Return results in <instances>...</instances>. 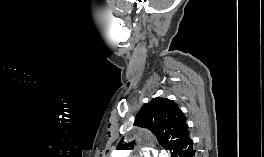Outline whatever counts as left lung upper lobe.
Listing matches in <instances>:
<instances>
[{
	"label": "left lung upper lobe",
	"instance_id": "obj_1",
	"mask_svg": "<svg viewBox=\"0 0 264 157\" xmlns=\"http://www.w3.org/2000/svg\"><path fill=\"white\" fill-rule=\"evenodd\" d=\"M134 125L147 128L158 138L171 157L179 146L189 139L184 113L177 104L167 98H155L139 111ZM133 142L119 143L118 149H131Z\"/></svg>",
	"mask_w": 264,
	"mask_h": 157
}]
</instances>
